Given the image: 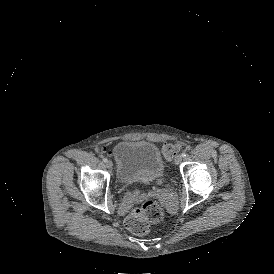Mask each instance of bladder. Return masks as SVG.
<instances>
[{
    "label": "bladder",
    "instance_id": "bladder-1",
    "mask_svg": "<svg viewBox=\"0 0 274 274\" xmlns=\"http://www.w3.org/2000/svg\"><path fill=\"white\" fill-rule=\"evenodd\" d=\"M113 158L120 182L148 180L166 173L165 158L151 141H122L113 148Z\"/></svg>",
    "mask_w": 274,
    "mask_h": 274
}]
</instances>
